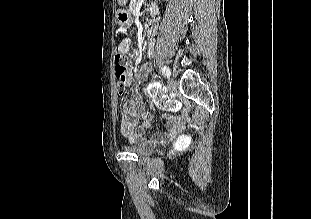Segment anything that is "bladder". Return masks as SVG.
<instances>
[{"label":"bladder","instance_id":"bladder-1","mask_svg":"<svg viewBox=\"0 0 311 219\" xmlns=\"http://www.w3.org/2000/svg\"><path fill=\"white\" fill-rule=\"evenodd\" d=\"M156 146V144H136L127 146L125 150L138 156H146L150 154Z\"/></svg>","mask_w":311,"mask_h":219}]
</instances>
